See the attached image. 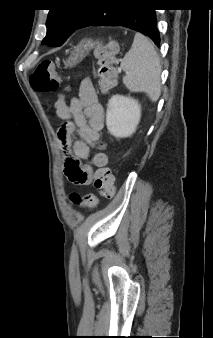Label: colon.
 Masks as SVG:
<instances>
[{
  "label": "colon",
  "instance_id": "colon-1",
  "mask_svg": "<svg viewBox=\"0 0 213 338\" xmlns=\"http://www.w3.org/2000/svg\"><path fill=\"white\" fill-rule=\"evenodd\" d=\"M96 53V77L99 87L102 91H107L114 87L116 77V62L119 58V46L114 42H103L98 39L94 43ZM30 85L38 93H53L59 89V73L50 60L42 61L36 71L30 76ZM64 127H70L64 124ZM104 144H101L103 148ZM91 164L95 167L94 186L95 189L105 197L111 196L115 191L114 176L111 170L106 166L107 156L103 151H98L92 158ZM84 170V166L79 160L68 158L65 161L64 172L67 178L74 179L78 172ZM71 201L83 208H93L96 203V197L92 194L80 195L72 193Z\"/></svg>",
  "mask_w": 213,
  "mask_h": 338
}]
</instances>
